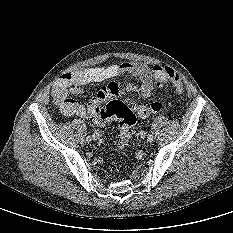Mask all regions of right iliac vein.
<instances>
[{
	"instance_id": "1",
	"label": "right iliac vein",
	"mask_w": 233,
	"mask_h": 233,
	"mask_svg": "<svg viewBox=\"0 0 233 233\" xmlns=\"http://www.w3.org/2000/svg\"><path fill=\"white\" fill-rule=\"evenodd\" d=\"M92 138H93V140H97L99 138V135L97 133H94Z\"/></svg>"
}]
</instances>
